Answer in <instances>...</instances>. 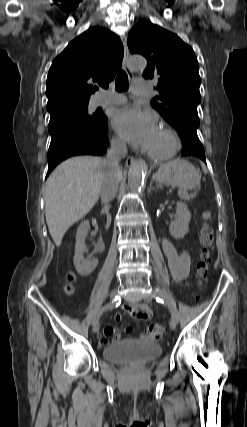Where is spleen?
I'll list each match as a JSON object with an SVG mask.
<instances>
[{"instance_id": "spleen-1", "label": "spleen", "mask_w": 247, "mask_h": 427, "mask_svg": "<svg viewBox=\"0 0 247 427\" xmlns=\"http://www.w3.org/2000/svg\"><path fill=\"white\" fill-rule=\"evenodd\" d=\"M202 169H203V171L206 173L207 172V169H206V167L202 164Z\"/></svg>"}]
</instances>
